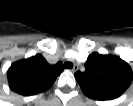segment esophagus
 <instances>
[{"label": "esophagus", "instance_id": "esophagus-1", "mask_svg": "<svg viewBox=\"0 0 133 106\" xmlns=\"http://www.w3.org/2000/svg\"><path fill=\"white\" fill-rule=\"evenodd\" d=\"M77 70H78V66L75 64V65L72 67L71 71H72V72H76Z\"/></svg>", "mask_w": 133, "mask_h": 106}]
</instances>
